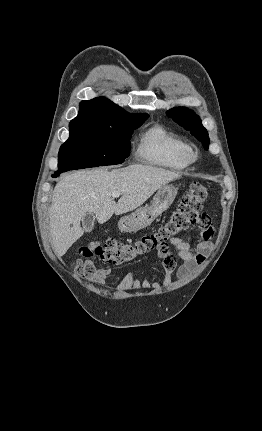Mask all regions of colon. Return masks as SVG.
Returning <instances> with one entry per match:
<instances>
[{
	"label": "colon",
	"instance_id": "1",
	"mask_svg": "<svg viewBox=\"0 0 262 431\" xmlns=\"http://www.w3.org/2000/svg\"><path fill=\"white\" fill-rule=\"evenodd\" d=\"M207 196L208 188L195 182L182 196L169 220L155 232L143 235L132 242L99 239L83 244L73 261L75 271L80 275L91 271L90 262L94 258L113 264H123L150 252H157L160 255L169 254L170 239L204 219L205 214L201 213V209ZM84 258L87 260H83Z\"/></svg>",
	"mask_w": 262,
	"mask_h": 431
}]
</instances>
